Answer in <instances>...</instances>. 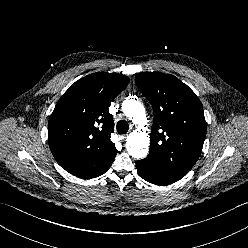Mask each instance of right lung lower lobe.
Listing matches in <instances>:
<instances>
[{
	"label": "right lung lower lobe",
	"instance_id": "right-lung-lower-lobe-1",
	"mask_svg": "<svg viewBox=\"0 0 248 248\" xmlns=\"http://www.w3.org/2000/svg\"><path fill=\"white\" fill-rule=\"evenodd\" d=\"M109 167H110V166H109ZM109 167L106 169V171L109 169ZM106 171H105V172H106ZM102 174H103V173H102ZM102 174H101V175H102Z\"/></svg>",
	"mask_w": 248,
	"mask_h": 248
}]
</instances>
